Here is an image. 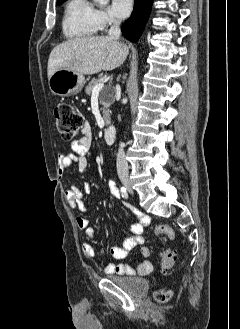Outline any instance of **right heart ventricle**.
<instances>
[{
	"label": "right heart ventricle",
	"instance_id": "right-heart-ventricle-1",
	"mask_svg": "<svg viewBox=\"0 0 240 329\" xmlns=\"http://www.w3.org/2000/svg\"><path fill=\"white\" fill-rule=\"evenodd\" d=\"M95 8L88 0H69L62 19V30L69 39L93 36L98 28L94 17Z\"/></svg>",
	"mask_w": 240,
	"mask_h": 329
}]
</instances>
